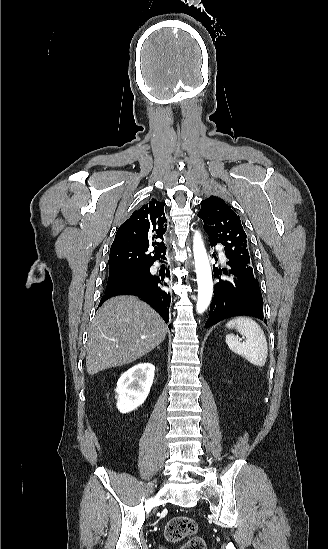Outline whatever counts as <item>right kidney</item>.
Listing matches in <instances>:
<instances>
[{"label":"right kidney","mask_w":328,"mask_h":549,"mask_svg":"<svg viewBox=\"0 0 328 549\" xmlns=\"http://www.w3.org/2000/svg\"><path fill=\"white\" fill-rule=\"evenodd\" d=\"M154 371L151 363H138L121 375L115 389L120 413H130L144 403L152 387Z\"/></svg>","instance_id":"right-kidney-1"}]
</instances>
